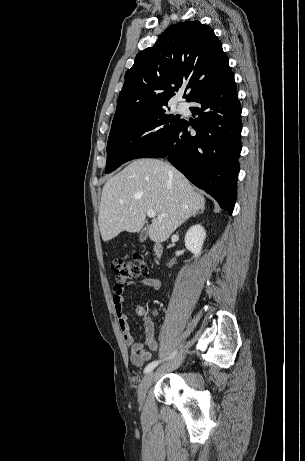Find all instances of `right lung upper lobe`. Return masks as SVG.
<instances>
[{"label": "right lung upper lobe", "instance_id": "cb5924a9", "mask_svg": "<svg viewBox=\"0 0 305 461\" xmlns=\"http://www.w3.org/2000/svg\"><path fill=\"white\" fill-rule=\"evenodd\" d=\"M232 73L214 31L199 21L168 28L155 45L141 51L125 74L113 124L167 105L182 85L197 94Z\"/></svg>", "mask_w": 305, "mask_h": 461}]
</instances>
